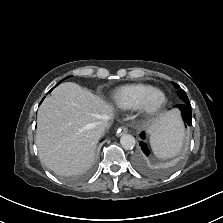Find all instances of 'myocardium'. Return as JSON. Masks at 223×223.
I'll list each match as a JSON object with an SVG mask.
<instances>
[{
	"mask_svg": "<svg viewBox=\"0 0 223 223\" xmlns=\"http://www.w3.org/2000/svg\"><path fill=\"white\" fill-rule=\"evenodd\" d=\"M154 93H160L162 95V100L158 105L150 106L149 100ZM166 102H167V96H166V93L162 89L151 88L141 98L137 106V110L142 115L152 116V115L157 114L165 106Z\"/></svg>",
	"mask_w": 223,
	"mask_h": 223,
	"instance_id": "myocardium-1",
	"label": "myocardium"
}]
</instances>
